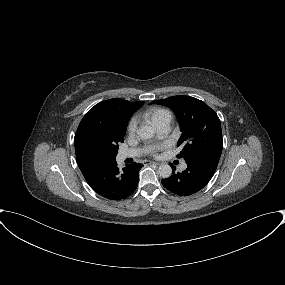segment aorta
I'll return each instance as SVG.
<instances>
[{"instance_id": "obj_1", "label": "aorta", "mask_w": 285, "mask_h": 285, "mask_svg": "<svg viewBox=\"0 0 285 285\" xmlns=\"http://www.w3.org/2000/svg\"><path fill=\"white\" fill-rule=\"evenodd\" d=\"M137 134L142 140H148L154 136L155 128L149 125H142L138 128ZM158 174L162 178H169L172 174V168L168 164H161L158 168Z\"/></svg>"}]
</instances>
